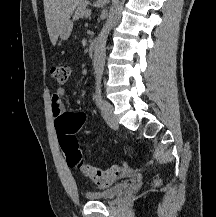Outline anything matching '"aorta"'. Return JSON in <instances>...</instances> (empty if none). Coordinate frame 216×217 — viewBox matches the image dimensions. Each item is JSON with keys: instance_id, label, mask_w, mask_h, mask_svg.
Listing matches in <instances>:
<instances>
[{"instance_id": "obj_1", "label": "aorta", "mask_w": 216, "mask_h": 217, "mask_svg": "<svg viewBox=\"0 0 216 217\" xmlns=\"http://www.w3.org/2000/svg\"><path fill=\"white\" fill-rule=\"evenodd\" d=\"M119 0H112V5L109 10L107 20L98 35L95 48H94V59H93V68L94 74L97 77H101L104 71L105 65V52H106V42L108 34L113 23L114 16L117 12V4Z\"/></svg>"}]
</instances>
